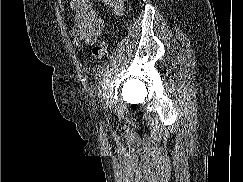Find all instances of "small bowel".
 Masks as SVG:
<instances>
[{"mask_svg":"<svg viewBox=\"0 0 243 182\" xmlns=\"http://www.w3.org/2000/svg\"><path fill=\"white\" fill-rule=\"evenodd\" d=\"M113 9L115 14H121L124 10L125 0H98ZM70 7L74 12V21L71 28V36L74 44L92 45L104 28L103 20L93 7L91 0H71Z\"/></svg>","mask_w":243,"mask_h":182,"instance_id":"c3829d8e","label":"small bowel"}]
</instances>
